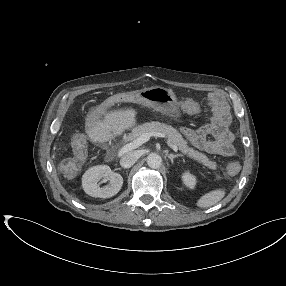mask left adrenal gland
Segmentation results:
<instances>
[{"label":"left adrenal gland","instance_id":"1","mask_svg":"<svg viewBox=\"0 0 286 286\" xmlns=\"http://www.w3.org/2000/svg\"><path fill=\"white\" fill-rule=\"evenodd\" d=\"M168 158L171 160V163L173 164L174 159L177 157H182V154H167Z\"/></svg>","mask_w":286,"mask_h":286}]
</instances>
